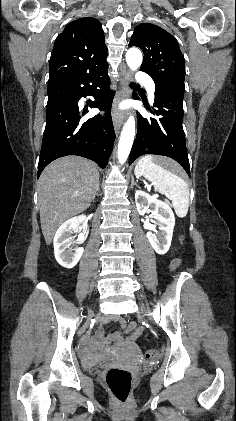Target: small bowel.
<instances>
[{
  "instance_id": "c3829d8e",
  "label": "small bowel",
  "mask_w": 236,
  "mask_h": 421,
  "mask_svg": "<svg viewBox=\"0 0 236 421\" xmlns=\"http://www.w3.org/2000/svg\"><path fill=\"white\" fill-rule=\"evenodd\" d=\"M130 328H131V330H132V331H134V333H135V334H137V335L141 333V330H140L139 328H137L135 324H131V325H130ZM101 334H102V332H101Z\"/></svg>"
}]
</instances>
